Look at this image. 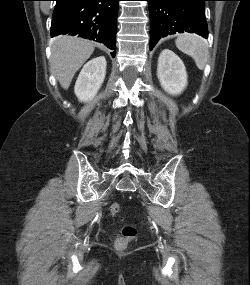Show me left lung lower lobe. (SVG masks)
Here are the masks:
<instances>
[{"label": "left lung lower lobe", "mask_w": 250, "mask_h": 285, "mask_svg": "<svg viewBox=\"0 0 250 285\" xmlns=\"http://www.w3.org/2000/svg\"><path fill=\"white\" fill-rule=\"evenodd\" d=\"M150 14V50L161 37L175 33H196L208 38L205 1L146 0Z\"/></svg>", "instance_id": "0a47b994"}]
</instances>
